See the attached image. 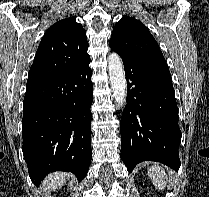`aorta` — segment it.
Masks as SVG:
<instances>
[{
  "mask_svg": "<svg viewBox=\"0 0 209 197\" xmlns=\"http://www.w3.org/2000/svg\"><path fill=\"white\" fill-rule=\"evenodd\" d=\"M108 72L116 105L122 107L126 103L127 82L123 63L120 56L115 52L108 56Z\"/></svg>",
  "mask_w": 209,
  "mask_h": 197,
  "instance_id": "1",
  "label": "aorta"
}]
</instances>
